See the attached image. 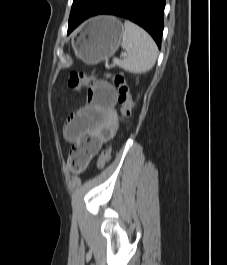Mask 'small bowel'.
Listing matches in <instances>:
<instances>
[{
	"label": "small bowel",
	"mask_w": 227,
	"mask_h": 265,
	"mask_svg": "<svg viewBox=\"0 0 227 265\" xmlns=\"http://www.w3.org/2000/svg\"><path fill=\"white\" fill-rule=\"evenodd\" d=\"M115 106L114 88L99 81L89 87L87 104L68 117L64 137L86 156V164L115 136Z\"/></svg>",
	"instance_id": "c3829d8e"
}]
</instances>
